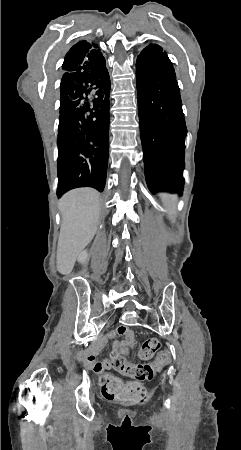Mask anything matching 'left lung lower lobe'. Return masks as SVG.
<instances>
[{
  "instance_id": "left-lung-lower-lobe-1",
  "label": "left lung lower lobe",
  "mask_w": 241,
  "mask_h": 450,
  "mask_svg": "<svg viewBox=\"0 0 241 450\" xmlns=\"http://www.w3.org/2000/svg\"><path fill=\"white\" fill-rule=\"evenodd\" d=\"M136 80L148 188L182 195L187 129L176 74L160 46L149 45L138 55Z\"/></svg>"
}]
</instances>
